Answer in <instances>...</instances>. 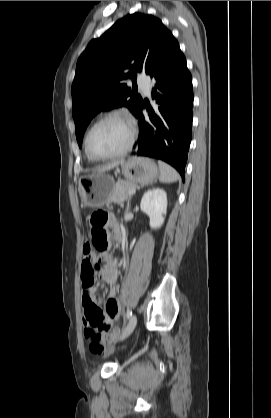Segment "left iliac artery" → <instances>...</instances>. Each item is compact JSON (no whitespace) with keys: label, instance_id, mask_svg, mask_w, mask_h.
<instances>
[{"label":"left iliac artery","instance_id":"left-iliac-artery-1","mask_svg":"<svg viewBox=\"0 0 271 418\" xmlns=\"http://www.w3.org/2000/svg\"><path fill=\"white\" fill-rule=\"evenodd\" d=\"M132 316V312L130 309H127L126 317L129 319Z\"/></svg>","mask_w":271,"mask_h":418}]
</instances>
